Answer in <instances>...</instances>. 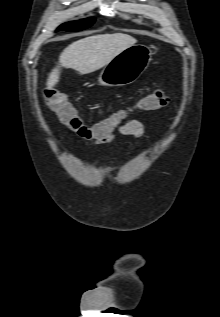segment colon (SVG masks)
<instances>
[{
    "instance_id": "colon-1",
    "label": "colon",
    "mask_w": 220,
    "mask_h": 317,
    "mask_svg": "<svg viewBox=\"0 0 220 317\" xmlns=\"http://www.w3.org/2000/svg\"><path fill=\"white\" fill-rule=\"evenodd\" d=\"M172 97V92L156 90L141 98L138 102V108L142 111H154L166 106ZM44 98L48 106L70 130L79 134L85 132L90 127L80 117L77 109L64 93L50 89L44 93ZM124 116V112L120 111L93 124L95 133L97 135L112 133L124 123Z\"/></svg>"
}]
</instances>
